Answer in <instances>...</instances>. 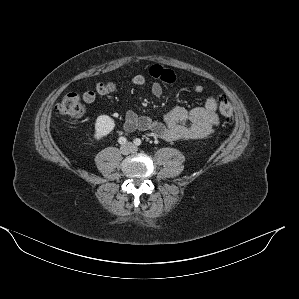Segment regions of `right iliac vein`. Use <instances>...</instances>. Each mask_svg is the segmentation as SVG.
Instances as JSON below:
<instances>
[{
	"mask_svg": "<svg viewBox=\"0 0 299 299\" xmlns=\"http://www.w3.org/2000/svg\"><path fill=\"white\" fill-rule=\"evenodd\" d=\"M122 154L126 155L130 152V147L128 145H124L120 148Z\"/></svg>",
	"mask_w": 299,
	"mask_h": 299,
	"instance_id": "right-iliac-vein-1",
	"label": "right iliac vein"
}]
</instances>
